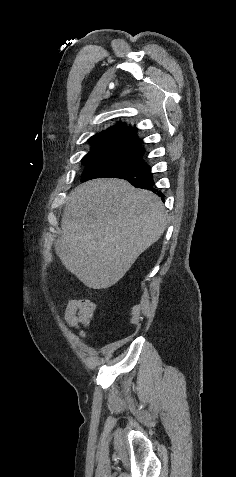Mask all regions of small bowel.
<instances>
[{
    "label": "small bowel",
    "mask_w": 236,
    "mask_h": 477,
    "mask_svg": "<svg viewBox=\"0 0 236 477\" xmlns=\"http://www.w3.org/2000/svg\"><path fill=\"white\" fill-rule=\"evenodd\" d=\"M94 312L95 304L91 300L70 299L64 310V319L68 326L77 329L80 336H84V328L89 324Z\"/></svg>",
    "instance_id": "small-bowel-1"
}]
</instances>
